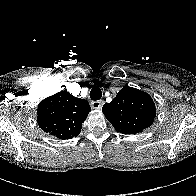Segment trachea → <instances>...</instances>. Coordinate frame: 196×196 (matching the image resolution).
<instances>
[{
	"label": "trachea",
	"instance_id": "1",
	"mask_svg": "<svg viewBox=\"0 0 196 196\" xmlns=\"http://www.w3.org/2000/svg\"><path fill=\"white\" fill-rule=\"evenodd\" d=\"M102 97V92L99 87H93L92 90L90 91V98L93 101H97Z\"/></svg>",
	"mask_w": 196,
	"mask_h": 196
}]
</instances>
